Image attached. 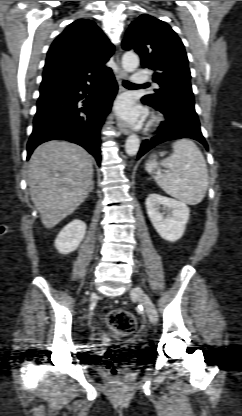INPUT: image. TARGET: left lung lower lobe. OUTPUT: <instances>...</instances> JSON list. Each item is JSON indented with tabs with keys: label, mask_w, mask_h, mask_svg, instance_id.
<instances>
[{
	"label": "left lung lower lobe",
	"mask_w": 242,
	"mask_h": 416,
	"mask_svg": "<svg viewBox=\"0 0 242 416\" xmlns=\"http://www.w3.org/2000/svg\"><path fill=\"white\" fill-rule=\"evenodd\" d=\"M146 104L162 112L166 120L158 127L157 132L159 134L157 136L143 141L137 156L138 159L160 143L182 138L197 140L208 149V145L200 130V123L194 105L177 101H170L163 106Z\"/></svg>",
	"instance_id": "1"
}]
</instances>
